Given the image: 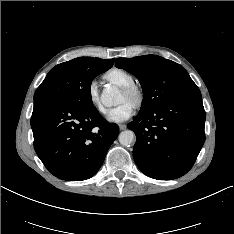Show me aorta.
I'll use <instances>...</instances> for the list:
<instances>
[{"label":"aorta","mask_w":234,"mask_h":234,"mask_svg":"<svg viewBox=\"0 0 234 234\" xmlns=\"http://www.w3.org/2000/svg\"><path fill=\"white\" fill-rule=\"evenodd\" d=\"M118 93L117 89L115 87H107L103 90L101 95V100L105 105H112L113 104V98ZM134 132L131 130H125L122 131L119 134V142L123 146H129L134 141Z\"/></svg>","instance_id":"aorta-1"}]
</instances>
